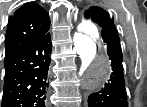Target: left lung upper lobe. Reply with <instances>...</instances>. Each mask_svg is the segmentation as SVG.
Returning <instances> with one entry per match:
<instances>
[{
    "mask_svg": "<svg viewBox=\"0 0 147 107\" xmlns=\"http://www.w3.org/2000/svg\"><path fill=\"white\" fill-rule=\"evenodd\" d=\"M84 17L96 23L100 29L105 27L115 28L113 19H111L108 12L101 7L91 6L84 12Z\"/></svg>",
    "mask_w": 147,
    "mask_h": 107,
    "instance_id": "1",
    "label": "left lung upper lobe"
}]
</instances>
